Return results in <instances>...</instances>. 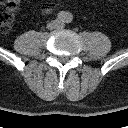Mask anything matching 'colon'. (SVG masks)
<instances>
[{"instance_id":"obj_1","label":"colon","mask_w":128,"mask_h":128,"mask_svg":"<svg viewBox=\"0 0 128 128\" xmlns=\"http://www.w3.org/2000/svg\"><path fill=\"white\" fill-rule=\"evenodd\" d=\"M15 9V0H0V30H8L11 28L14 21Z\"/></svg>"}]
</instances>
